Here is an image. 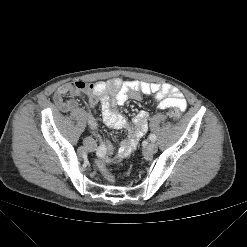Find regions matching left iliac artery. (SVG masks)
Returning a JSON list of instances; mask_svg holds the SVG:
<instances>
[{
  "label": "left iliac artery",
  "instance_id": "44dca946",
  "mask_svg": "<svg viewBox=\"0 0 247 247\" xmlns=\"http://www.w3.org/2000/svg\"><path fill=\"white\" fill-rule=\"evenodd\" d=\"M149 139H150L151 141L155 142L156 139H157V137H156L155 134H150V135H149Z\"/></svg>",
  "mask_w": 247,
  "mask_h": 247
}]
</instances>
